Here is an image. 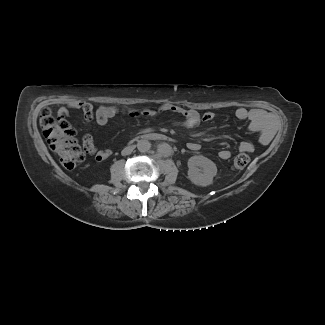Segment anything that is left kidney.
<instances>
[{"label": "left kidney", "mask_w": 325, "mask_h": 325, "mask_svg": "<svg viewBox=\"0 0 325 325\" xmlns=\"http://www.w3.org/2000/svg\"><path fill=\"white\" fill-rule=\"evenodd\" d=\"M188 179L197 186L206 187L213 183L217 175V167L213 161L202 156L195 155L188 159Z\"/></svg>", "instance_id": "5707ae66"}]
</instances>
